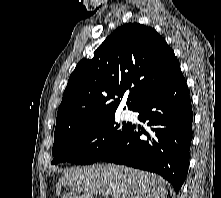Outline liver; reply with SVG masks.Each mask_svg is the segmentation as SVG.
Returning <instances> with one entry per match:
<instances>
[{"label":"liver","mask_w":221,"mask_h":198,"mask_svg":"<svg viewBox=\"0 0 221 198\" xmlns=\"http://www.w3.org/2000/svg\"><path fill=\"white\" fill-rule=\"evenodd\" d=\"M71 187L77 194L69 193L63 198H95L97 194L111 198H166L165 181L146 171L119 166L93 165L70 169L60 178L56 193L62 187Z\"/></svg>","instance_id":"1"}]
</instances>
